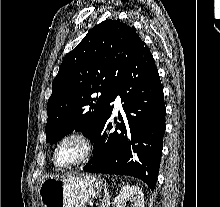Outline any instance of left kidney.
<instances>
[{
  "instance_id": "left-kidney-1",
  "label": "left kidney",
  "mask_w": 220,
  "mask_h": 207,
  "mask_svg": "<svg viewBox=\"0 0 220 207\" xmlns=\"http://www.w3.org/2000/svg\"><path fill=\"white\" fill-rule=\"evenodd\" d=\"M128 202H131V207H144V195L139 187L123 186L114 200L116 207H125Z\"/></svg>"
}]
</instances>
